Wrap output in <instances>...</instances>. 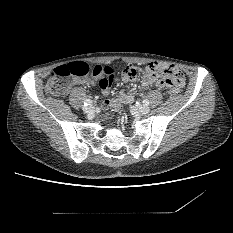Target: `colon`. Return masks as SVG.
<instances>
[{
	"instance_id": "colon-1",
	"label": "colon",
	"mask_w": 233,
	"mask_h": 233,
	"mask_svg": "<svg viewBox=\"0 0 233 233\" xmlns=\"http://www.w3.org/2000/svg\"><path fill=\"white\" fill-rule=\"evenodd\" d=\"M146 69H148L146 67ZM137 68L129 65L125 67L121 76L124 81L132 80L137 74ZM167 71V70H164ZM112 73V68L104 65H91L85 61H77L55 69L49 78L46 91L51 96H60L68 92L76 78L89 75L103 78ZM179 92V90H176Z\"/></svg>"
}]
</instances>
